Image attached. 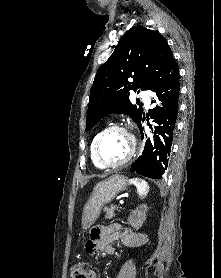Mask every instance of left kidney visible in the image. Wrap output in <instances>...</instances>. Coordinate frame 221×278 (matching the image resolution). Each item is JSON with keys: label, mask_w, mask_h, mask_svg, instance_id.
<instances>
[{"label": "left kidney", "mask_w": 221, "mask_h": 278, "mask_svg": "<svg viewBox=\"0 0 221 278\" xmlns=\"http://www.w3.org/2000/svg\"><path fill=\"white\" fill-rule=\"evenodd\" d=\"M140 209L138 211V209L135 211V215L137 216L136 219H138V222L141 223L145 220L146 218V212H147V205L143 204L140 206Z\"/></svg>", "instance_id": "left-kidney-1"}]
</instances>
